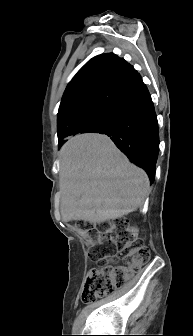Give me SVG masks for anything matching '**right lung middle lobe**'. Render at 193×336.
<instances>
[{"mask_svg": "<svg viewBox=\"0 0 193 336\" xmlns=\"http://www.w3.org/2000/svg\"><path fill=\"white\" fill-rule=\"evenodd\" d=\"M111 109H102L97 112L82 116L74 121L71 127L76 133L98 132L104 126Z\"/></svg>", "mask_w": 193, "mask_h": 336, "instance_id": "obj_1", "label": "right lung middle lobe"}]
</instances>
